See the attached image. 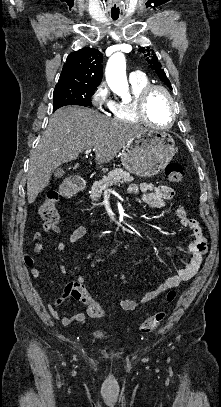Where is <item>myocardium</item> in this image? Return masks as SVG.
Instances as JSON below:
<instances>
[{"label":"myocardium","mask_w":221,"mask_h":407,"mask_svg":"<svg viewBox=\"0 0 221 407\" xmlns=\"http://www.w3.org/2000/svg\"><path fill=\"white\" fill-rule=\"evenodd\" d=\"M156 92H162L166 98L168 99L170 106H171V118L170 121L167 125L165 126H154L156 129L159 130H167L170 129L176 120V103L174 98L172 97L171 93L163 86L161 85H150L149 87H147L146 89H144L142 91V93L140 94L137 103H136V115L138 116V118L149 124V125H153V122L150 120L148 113H147V105L148 102L150 100V98L152 97V95Z\"/></svg>","instance_id":"obj_1"}]
</instances>
